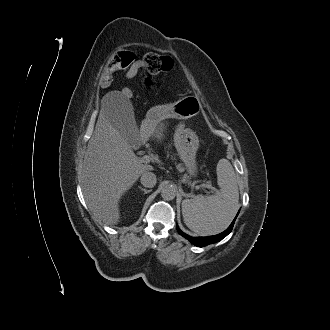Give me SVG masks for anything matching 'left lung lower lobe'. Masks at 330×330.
Here are the masks:
<instances>
[{
	"instance_id": "1",
	"label": "left lung lower lobe",
	"mask_w": 330,
	"mask_h": 330,
	"mask_svg": "<svg viewBox=\"0 0 330 330\" xmlns=\"http://www.w3.org/2000/svg\"><path fill=\"white\" fill-rule=\"evenodd\" d=\"M237 217V215H236ZM235 217V219H236ZM235 219L233 220V222L231 223V225L222 233L218 234V235H214V236H209V237H191L185 233H183L178 225L176 224L177 230L179 232L180 235H182L183 237H185L186 239H188L191 243H193L194 245L198 246V247H203L212 243H216L218 241H221L223 238H225L231 231L232 228L234 226L235 223Z\"/></svg>"
}]
</instances>
